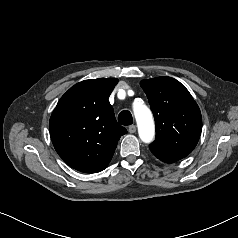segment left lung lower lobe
<instances>
[{
    "label": "left lung lower lobe",
    "mask_w": 238,
    "mask_h": 238,
    "mask_svg": "<svg viewBox=\"0 0 238 238\" xmlns=\"http://www.w3.org/2000/svg\"><path fill=\"white\" fill-rule=\"evenodd\" d=\"M158 159H160L161 161H164L166 163H173V162H176L180 159H177V158H173V157H170V156H166L164 154H154Z\"/></svg>",
    "instance_id": "1"
}]
</instances>
